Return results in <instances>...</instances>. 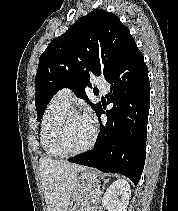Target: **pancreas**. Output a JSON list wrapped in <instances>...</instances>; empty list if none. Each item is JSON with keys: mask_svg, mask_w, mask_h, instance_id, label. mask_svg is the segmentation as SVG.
<instances>
[{"mask_svg": "<svg viewBox=\"0 0 178 211\" xmlns=\"http://www.w3.org/2000/svg\"><path fill=\"white\" fill-rule=\"evenodd\" d=\"M97 189L89 191L83 199V202L78 211H94L100 196L96 194Z\"/></svg>", "mask_w": 178, "mask_h": 211, "instance_id": "cf45deb5", "label": "pancreas"}]
</instances>
